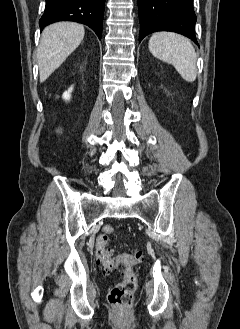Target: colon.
Returning <instances> with one entry per match:
<instances>
[{
	"label": "colon",
	"instance_id": "obj_1",
	"mask_svg": "<svg viewBox=\"0 0 240 329\" xmlns=\"http://www.w3.org/2000/svg\"><path fill=\"white\" fill-rule=\"evenodd\" d=\"M114 233L110 225H105L97 237L96 257L106 270L115 268L122 264V279L115 283L108 290L107 298L110 304L122 309H129L134 301V294L137 288L136 276L133 272V266L140 260L139 252H124L118 257H113L110 249L107 248L109 237Z\"/></svg>",
	"mask_w": 240,
	"mask_h": 329
}]
</instances>
